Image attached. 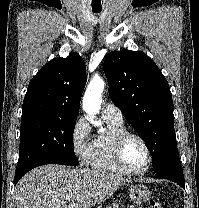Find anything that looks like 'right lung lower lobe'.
Listing matches in <instances>:
<instances>
[{
    "mask_svg": "<svg viewBox=\"0 0 199 208\" xmlns=\"http://www.w3.org/2000/svg\"><path fill=\"white\" fill-rule=\"evenodd\" d=\"M24 174H25V173L15 174V178H14L15 184L19 181V179H20Z\"/></svg>",
    "mask_w": 199,
    "mask_h": 208,
    "instance_id": "98d812e1",
    "label": "right lung lower lobe"
}]
</instances>
